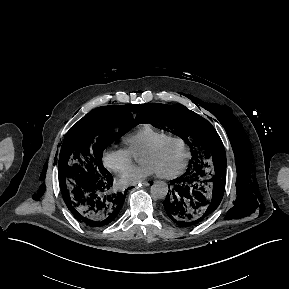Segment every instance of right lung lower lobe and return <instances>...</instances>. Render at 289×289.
I'll list each match as a JSON object with an SVG mask.
<instances>
[{
  "mask_svg": "<svg viewBox=\"0 0 289 289\" xmlns=\"http://www.w3.org/2000/svg\"><path fill=\"white\" fill-rule=\"evenodd\" d=\"M127 190L125 193L115 191L113 177L109 173L91 186H84L62 195L76 220L91 228H102L118 217Z\"/></svg>",
  "mask_w": 289,
  "mask_h": 289,
  "instance_id": "obj_1",
  "label": "right lung lower lobe"
}]
</instances>
